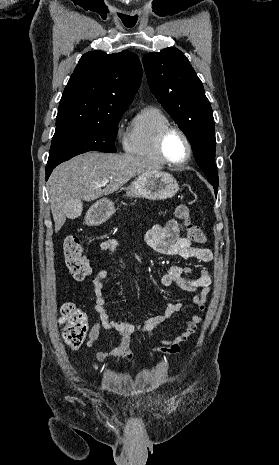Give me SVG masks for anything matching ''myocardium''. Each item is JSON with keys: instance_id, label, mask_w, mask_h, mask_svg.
<instances>
[{"instance_id": "myocardium-1", "label": "myocardium", "mask_w": 279, "mask_h": 465, "mask_svg": "<svg viewBox=\"0 0 279 465\" xmlns=\"http://www.w3.org/2000/svg\"><path fill=\"white\" fill-rule=\"evenodd\" d=\"M172 132H177L179 133L182 138L184 139L185 143H186V146H187V155L185 157L184 160L180 161V162H174L172 160H170L166 153H165V141H166V138L167 136L172 133ZM157 150H158V153L159 155L161 156V158L163 159V161L171 166H183L185 164H187L189 162V160L191 159L192 157V153H193V148H192V143L188 137V135L186 134V132L178 127V126H175V125H169L167 127H165L158 135V138H157Z\"/></svg>"}]
</instances>
